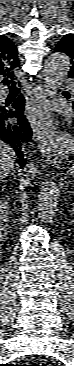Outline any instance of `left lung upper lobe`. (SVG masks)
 I'll return each mask as SVG.
<instances>
[{
  "mask_svg": "<svg viewBox=\"0 0 74 366\" xmlns=\"http://www.w3.org/2000/svg\"><path fill=\"white\" fill-rule=\"evenodd\" d=\"M55 52H63L70 57L71 68L69 71V76L74 78V34L65 35L56 48Z\"/></svg>",
  "mask_w": 74,
  "mask_h": 366,
  "instance_id": "1",
  "label": "left lung upper lobe"
}]
</instances>
